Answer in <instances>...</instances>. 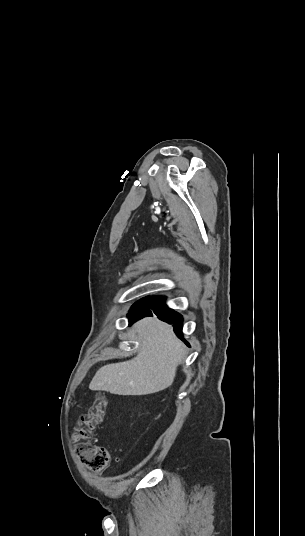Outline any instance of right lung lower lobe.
I'll return each instance as SVG.
<instances>
[{
    "instance_id": "98d812e1",
    "label": "right lung lower lobe",
    "mask_w": 305,
    "mask_h": 536,
    "mask_svg": "<svg viewBox=\"0 0 305 536\" xmlns=\"http://www.w3.org/2000/svg\"><path fill=\"white\" fill-rule=\"evenodd\" d=\"M164 300V297L153 296L137 301L128 314L130 324L143 317L152 316V313H155L160 317V320L174 324L175 333L178 337L182 338L183 317L179 313L169 309L165 305Z\"/></svg>"
}]
</instances>
